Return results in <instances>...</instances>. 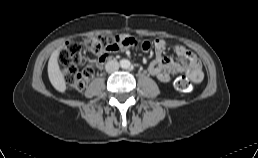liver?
I'll use <instances>...</instances> for the list:
<instances>
[{
    "label": "liver",
    "mask_w": 258,
    "mask_h": 158,
    "mask_svg": "<svg viewBox=\"0 0 258 158\" xmlns=\"http://www.w3.org/2000/svg\"><path fill=\"white\" fill-rule=\"evenodd\" d=\"M58 57L59 50L57 49L51 54L48 61V77L57 91L64 92L66 90V82L58 64Z\"/></svg>",
    "instance_id": "liver-1"
}]
</instances>
